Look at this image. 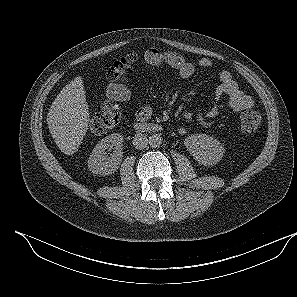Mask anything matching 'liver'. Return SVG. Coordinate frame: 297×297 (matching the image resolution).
<instances>
[{
	"mask_svg": "<svg viewBox=\"0 0 297 297\" xmlns=\"http://www.w3.org/2000/svg\"><path fill=\"white\" fill-rule=\"evenodd\" d=\"M46 121L57 147L64 154L73 155L86 135L89 121V108L80 76L57 95Z\"/></svg>",
	"mask_w": 297,
	"mask_h": 297,
	"instance_id": "6515ba94",
	"label": "liver"
}]
</instances>
